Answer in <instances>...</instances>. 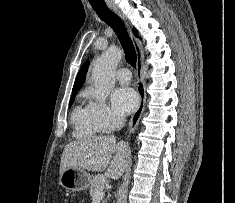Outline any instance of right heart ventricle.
<instances>
[{"mask_svg":"<svg viewBox=\"0 0 235 203\" xmlns=\"http://www.w3.org/2000/svg\"><path fill=\"white\" fill-rule=\"evenodd\" d=\"M86 96V91L80 93L81 99L86 98ZM71 119L74 128V133L78 137H93L100 132L92 118L89 109V104L78 105L74 109Z\"/></svg>","mask_w":235,"mask_h":203,"instance_id":"1","label":"right heart ventricle"}]
</instances>
